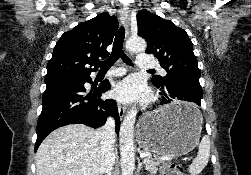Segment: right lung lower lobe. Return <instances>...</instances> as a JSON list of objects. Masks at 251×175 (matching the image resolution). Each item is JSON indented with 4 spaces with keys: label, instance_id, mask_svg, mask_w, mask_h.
I'll return each instance as SVG.
<instances>
[{
    "label": "right lung lower lobe",
    "instance_id": "98d812e1",
    "mask_svg": "<svg viewBox=\"0 0 251 175\" xmlns=\"http://www.w3.org/2000/svg\"><path fill=\"white\" fill-rule=\"evenodd\" d=\"M85 82H91V78L46 81L35 151L50 132L68 124L80 123L98 128L105 124L108 116H112L116 122V133H119L120 119L116 102L97 99L110 89V83L105 80L93 93L87 94Z\"/></svg>",
    "mask_w": 251,
    "mask_h": 175
}]
</instances>
